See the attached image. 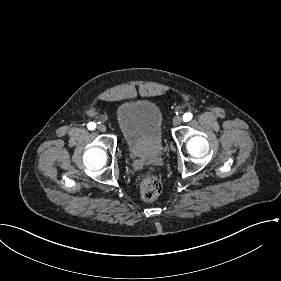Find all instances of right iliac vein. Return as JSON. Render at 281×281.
I'll return each mask as SVG.
<instances>
[{
  "instance_id": "right-iliac-vein-1",
  "label": "right iliac vein",
  "mask_w": 281,
  "mask_h": 281,
  "mask_svg": "<svg viewBox=\"0 0 281 281\" xmlns=\"http://www.w3.org/2000/svg\"><path fill=\"white\" fill-rule=\"evenodd\" d=\"M97 129L100 131V132H105L106 131V126L103 125V124H100L97 126Z\"/></svg>"
}]
</instances>
